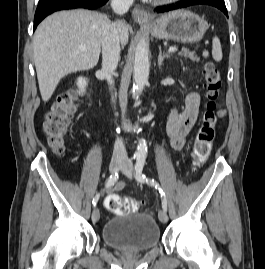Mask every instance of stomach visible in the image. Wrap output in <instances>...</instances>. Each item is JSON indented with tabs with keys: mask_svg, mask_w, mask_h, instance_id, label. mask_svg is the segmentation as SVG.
<instances>
[{
	"mask_svg": "<svg viewBox=\"0 0 265 269\" xmlns=\"http://www.w3.org/2000/svg\"><path fill=\"white\" fill-rule=\"evenodd\" d=\"M156 38L181 43L200 41L208 29L207 22L192 11L181 9L155 19L148 26Z\"/></svg>",
	"mask_w": 265,
	"mask_h": 269,
	"instance_id": "1",
	"label": "stomach"
}]
</instances>
